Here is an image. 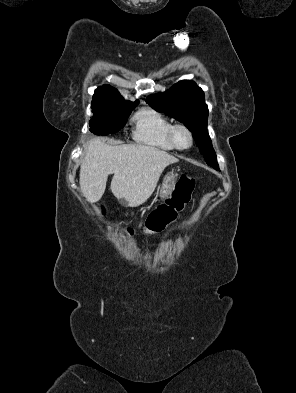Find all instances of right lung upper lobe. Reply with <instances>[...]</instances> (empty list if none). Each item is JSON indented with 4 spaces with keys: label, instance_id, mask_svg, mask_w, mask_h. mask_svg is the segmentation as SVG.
<instances>
[{
    "label": "right lung upper lobe",
    "instance_id": "right-lung-upper-lobe-1",
    "mask_svg": "<svg viewBox=\"0 0 296 393\" xmlns=\"http://www.w3.org/2000/svg\"><path fill=\"white\" fill-rule=\"evenodd\" d=\"M108 101H125V100L115 88L109 85H103L98 89H96L93 95L92 103L96 104V103L108 102ZM135 102H138V100Z\"/></svg>",
    "mask_w": 296,
    "mask_h": 393
}]
</instances>
